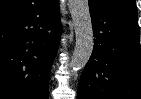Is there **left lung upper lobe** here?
Here are the masks:
<instances>
[{"label":"left lung upper lobe","instance_id":"1","mask_svg":"<svg viewBox=\"0 0 141 99\" xmlns=\"http://www.w3.org/2000/svg\"><path fill=\"white\" fill-rule=\"evenodd\" d=\"M98 1L105 2L107 4L117 7H126V6L135 7L134 0H98Z\"/></svg>","mask_w":141,"mask_h":99}]
</instances>
